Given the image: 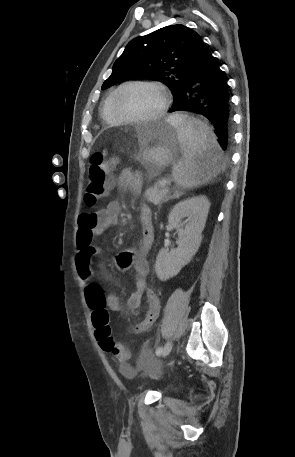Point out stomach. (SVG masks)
Here are the masks:
<instances>
[{
	"instance_id": "0dacf381",
	"label": "stomach",
	"mask_w": 295,
	"mask_h": 457,
	"mask_svg": "<svg viewBox=\"0 0 295 457\" xmlns=\"http://www.w3.org/2000/svg\"><path fill=\"white\" fill-rule=\"evenodd\" d=\"M179 143L177 129L167 120H161L139 134L135 157L149 175L156 176L175 162Z\"/></svg>"
}]
</instances>
